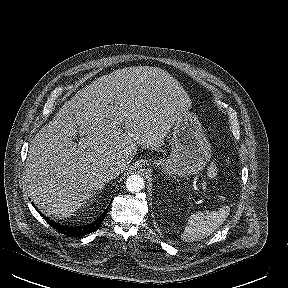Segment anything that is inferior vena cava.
I'll return each instance as SVG.
<instances>
[{
    "instance_id": "1",
    "label": "inferior vena cava",
    "mask_w": 288,
    "mask_h": 288,
    "mask_svg": "<svg viewBox=\"0 0 288 288\" xmlns=\"http://www.w3.org/2000/svg\"><path fill=\"white\" fill-rule=\"evenodd\" d=\"M123 170V165L119 164H108L105 165L101 171V174L108 180L117 177Z\"/></svg>"
}]
</instances>
